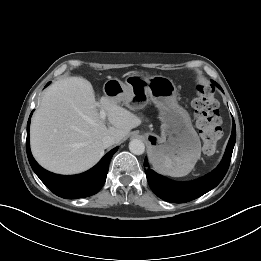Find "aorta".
<instances>
[{
    "label": "aorta",
    "instance_id": "obj_1",
    "mask_svg": "<svg viewBox=\"0 0 261 261\" xmlns=\"http://www.w3.org/2000/svg\"><path fill=\"white\" fill-rule=\"evenodd\" d=\"M129 150L135 155H142L145 151V145L141 140L133 139L129 143Z\"/></svg>",
    "mask_w": 261,
    "mask_h": 261
}]
</instances>
